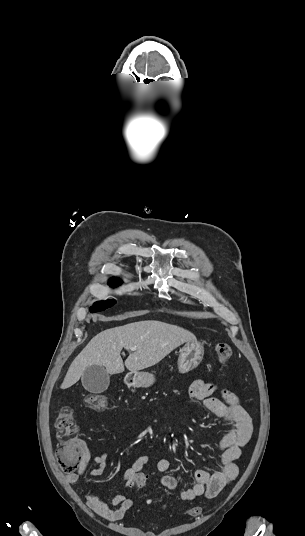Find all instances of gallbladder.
<instances>
[{"mask_svg": "<svg viewBox=\"0 0 305 536\" xmlns=\"http://www.w3.org/2000/svg\"><path fill=\"white\" fill-rule=\"evenodd\" d=\"M81 382L91 394H102L110 384V376L103 366H88L81 376Z\"/></svg>", "mask_w": 305, "mask_h": 536, "instance_id": "gallbladder-1", "label": "gallbladder"}]
</instances>
